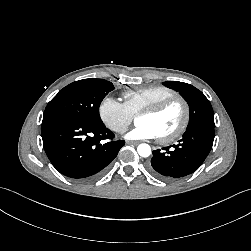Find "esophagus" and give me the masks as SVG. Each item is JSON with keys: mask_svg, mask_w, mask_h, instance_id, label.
<instances>
[{"mask_svg": "<svg viewBox=\"0 0 251 251\" xmlns=\"http://www.w3.org/2000/svg\"><path fill=\"white\" fill-rule=\"evenodd\" d=\"M126 143L129 145H138L139 144L138 141H126Z\"/></svg>", "mask_w": 251, "mask_h": 251, "instance_id": "obj_1", "label": "esophagus"}]
</instances>
